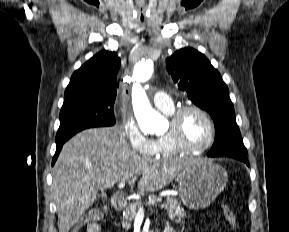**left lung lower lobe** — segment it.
<instances>
[{"label":"left lung lower lobe","instance_id":"left-lung-lower-lobe-1","mask_svg":"<svg viewBox=\"0 0 289 232\" xmlns=\"http://www.w3.org/2000/svg\"><path fill=\"white\" fill-rule=\"evenodd\" d=\"M225 157H231V158H235V159H238V160H241L243 161L244 163H246V165L249 166V162H248V159L246 157V155H235V154H230V155H224Z\"/></svg>","mask_w":289,"mask_h":232}]
</instances>
